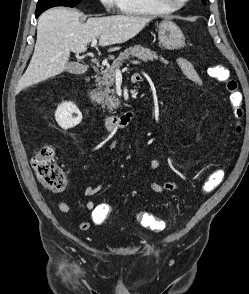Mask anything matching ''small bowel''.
Instances as JSON below:
<instances>
[{"label":"small bowel","mask_w":249,"mask_h":294,"mask_svg":"<svg viewBox=\"0 0 249 294\" xmlns=\"http://www.w3.org/2000/svg\"><path fill=\"white\" fill-rule=\"evenodd\" d=\"M176 64L189 81H191L192 83L196 85H202V81L199 78L196 70L194 69L193 65L188 60H186L185 58L179 57L176 59ZM116 145H117V140H113L110 143V148L112 149ZM160 164L161 163L159 159L157 158L152 159L149 164L150 171L157 170ZM179 187H180L179 183L173 182V181L153 180L150 182V188L155 193H164L167 191H174V190H177ZM101 189H102V186L100 184L89 185L85 188L84 194L88 197H91L96 195ZM107 206L108 204L106 203H96L93 200L87 201L85 204V208L90 213L91 222L83 221L79 224V228L83 231H86L90 228L91 224H95V225L102 224L109 216V214L106 212ZM57 207L63 213H67L71 210V206L67 202L62 200L58 201Z\"/></svg>","instance_id":"1"}]
</instances>
